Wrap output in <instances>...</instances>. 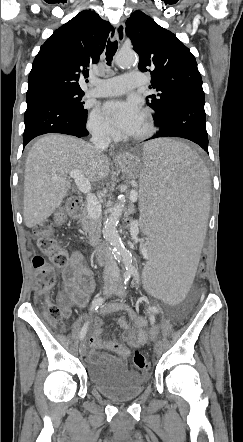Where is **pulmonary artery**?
Returning a JSON list of instances; mask_svg holds the SVG:
<instances>
[{"label": "pulmonary artery", "mask_w": 243, "mask_h": 442, "mask_svg": "<svg viewBox=\"0 0 243 442\" xmlns=\"http://www.w3.org/2000/svg\"><path fill=\"white\" fill-rule=\"evenodd\" d=\"M143 83L144 78L140 73L127 72L108 79H92V88L87 93L95 97L120 95L130 89L141 86Z\"/></svg>", "instance_id": "obj_1"}]
</instances>
